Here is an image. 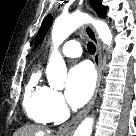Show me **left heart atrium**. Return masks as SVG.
Listing matches in <instances>:
<instances>
[{"instance_id": "1", "label": "left heart atrium", "mask_w": 136, "mask_h": 136, "mask_svg": "<svg viewBox=\"0 0 136 136\" xmlns=\"http://www.w3.org/2000/svg\"><path fill=\"white\" fill-rule=\"evenodd\" d=\"M95 87V73L88 63H80L69 72L66 96L73 107L84 105L91 97Z\"/></svg>"}]
</instances>
